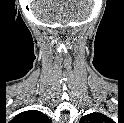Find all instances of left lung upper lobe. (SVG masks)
I'll return each instance as SVG.
<instances>
[{"mask_svg": "<svg viewBox=\"0 0 124 123\" xmlns=\"http://www.w3.org/2000/svg\"><path fill=\"white\" fill-rule=\"evenodd\" d=\"M107 117L101 113H90L80 119V123H103Z\"/></svg>", "mask_w": 124, "mask_h": 123, "instance_id": "obj_1", "label": "left lung upper lobe"}]
</instances>
